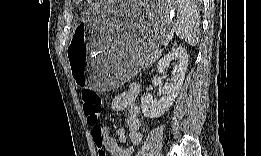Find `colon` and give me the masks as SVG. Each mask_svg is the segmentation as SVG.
<instances>
[{"mask_svg": "<svg viewBox=\"0 0 261 156\" xmlns=\"http://www.w3.org/2000/svg\"><path fill=\"white\" fill-rule=\"evenodd\" d=\"M81 102L83 111L85 114L86 121L94 125L97 123L101 112H102V99L94 91L86 90L81 94ZM93 139L97 147L101 148V131L100 128H95L93 130Z\"/></svg>", "mask_w": 261, "mask_h": 156, "instance_id": "1", "label": "colon"}]
</instances>
